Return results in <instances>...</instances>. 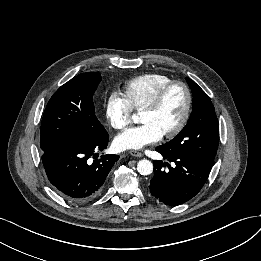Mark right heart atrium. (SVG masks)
Returning <instances> with one entry per match:
<instances>
[{"instance_id":"obj_1","label":"right heart atrium","mask_w":261,"mask_h":261,"mask_svg":"<svg viewBox=\"0 0 261 261\" xmlns=\"http://www.w3.org/2000/svg\"><path fill=\"white\" fill-rule=\"evenodd\" d=\"M133 108L125 96L112 93L105 105V114L109 124L118 130L125 129L132 119Z\"/></svg>"}]
</instances>
